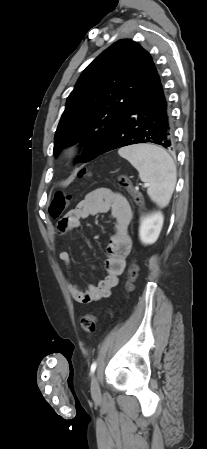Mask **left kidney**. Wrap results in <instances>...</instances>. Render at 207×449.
<instances>
[{"label": "left kidney", "mask_w": 207, "mask_h": 449, "mask_svg": "<svg viewBox=\"0 0 207 449\" xmlns=\"http://www.w3.org/2000/svg\"><path fill=\"white\" fill-rule=\"evenodd\" d=\"M164 217L158 211L143 217L139 227V237L143 244H153L157 241L162 230Z\"/></svg>", "instance_id": "left-kidney-1"}]
</instances>
